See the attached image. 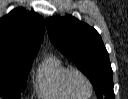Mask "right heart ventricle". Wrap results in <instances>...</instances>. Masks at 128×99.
<instances>
[{
	"label": "right heart ventricle",
	"instance_id": "right-heart-ventricle-1",
	"mask_svg": "<svg viewBox=\"0 0 128 99\" xmlns=\"http://www.w3.org/2000/svg\"><path fill=\"white\" fill-rule=\"evenodd\" d=\"M69 69L59 57L47 56L35 75L38 96L44 99H73L65 86V76Z\"/></svg>",
	"mask_w": 128,
	"mask_h": 99
}]
</instances>
